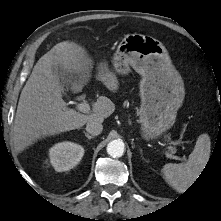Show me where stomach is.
Masks as SVG:
<instances>
[{
    "label": "stomach",
    "mask_w": 221,
    "mask_h": 221,
    "mask_svg": "<svg viewBox=\"0 0 221 221\" xmlns=\"http://www.w3.org/2000/svg\"><path fill=\"white\" fill-rule=\"evenodd\" d=\"M112 62L118 74L126 75L132 67L142 76L139 110L142 136L154 139L171 128L185 91L163 44L151 36L129 34L118 45Z\"/></svg>",
    "instance_id": "0dacf381"
}]
</instances>
